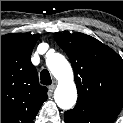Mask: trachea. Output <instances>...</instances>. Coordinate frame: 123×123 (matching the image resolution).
<instances>
[{"instance_id":"3493384b","label":"trachea","mask_w":123,"mask_h":123,"mask_svg":"<svg viewBox=\"0 0 123 123\" xmlns=\"http://www.w3.org/2000/svg\"><path fill=\"white\" fill-rule=\"evenodd\" d=\"M40 79H41V84H43V85H50L52 82L51 77H50V73L46 69L41 71Z\"/></svg>"}]
</instances>
